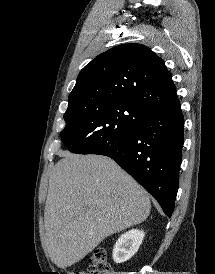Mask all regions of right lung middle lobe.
<instances>
[{"label":"right lung middle lobe","mask_w":215,"mask_h":274,"mask_svg":"<svg viewBox=\"0 0 215 274\" xmlns=\"http://www.w3.org/2000/svg\"><path fill=\"white\" fill-rule=\"evenodd\" d=\"M149 113L135 104L118 100L69 103L61 139L71 152L90 154L130 134Z\"/></svg>","instance_id":"obj_1"}]
</instances>
